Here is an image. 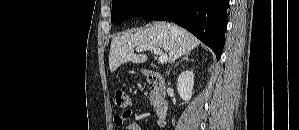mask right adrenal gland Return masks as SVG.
Returning a JSON list of instances; mask_svg holds the SVG:
<instances>
[{
  "label": "right adrenal gland",
  "instance_id": "1",
  "mask_svg": "<svg viewBox=\"0 0 299 130\" xmlns=\"http://www.w3.org/2000/svg\"><path fill=\"white\" fill-rule=\"evenodd\" d=\"M182 61L189 62V61H190V59H189V54H185L184 57L182 58V60H181L180 62H182ZM180 62L176 63V65H175L174 67H176ZM171 70H172V69H170L169 72H170ZM169 72H168V74H169Z\"/></svg>",
  "mask_w": 299,
  "mask_h": 130
}]
</instances>
